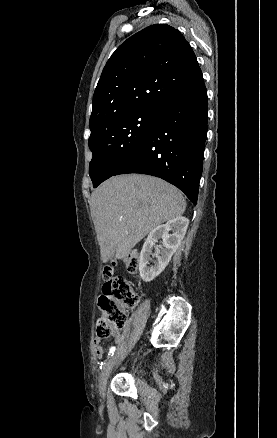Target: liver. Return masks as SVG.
Segmentation results:
<instances>
[{
  "label": "liver",
  "instance_id": "obj_1",
  "mask_svg": "<svg viewBox=\"0 0 277 438\" xmlns=\"http://www.w3.org/2000/svg\"><path fill=\"white\" fill-rule=\"evenodd\" d=\"M185 210L182 192L160 178L122 174L106 180L91 200L102 262L127 258L151 230Z\"/></svg>",
  "mask_w": 277,
  "mask_h": 438
}]
</instances>
